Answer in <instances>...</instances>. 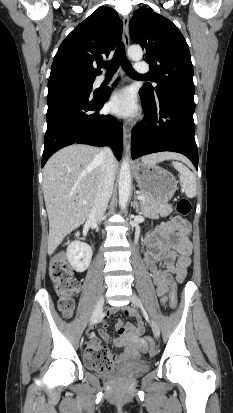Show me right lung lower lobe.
<instances>
[{
  "instance_id": "1",
  "label": "right lung lower lobe",
  "mask_w": 233,
  "mask_h": 413,
  "mask_svg": "<svg viewBox=\"0 0 233 413\" xmlns=\"http://www.w3.org/2000/svg\"><path fill=\"white\" fill-rule=\"evenodd\" d=\"M110 88L92 94L85 88L63 84L48 88L47 131L44 138L42 167L59 149L74 144L104 146L112 139V149L121 159L123 129L110 115L98 110L109 99Z\"/></svg>"
}]
</instances>
